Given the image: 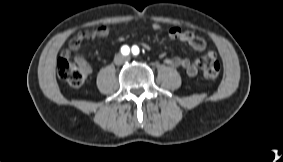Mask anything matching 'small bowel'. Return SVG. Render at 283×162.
<instances>
[{
  "label": "small bowel",
  "instance_id": "1",
  "mask_svg": "<svg viewBox=\"0 0 283 162\" xmlns=\"http://www.w3.org/2000/svg\"><path fill=\"white\" fill-rule=\"evenodd\" d=\"M151 29L154 31H160L161 25L157 22H153ZM168 36L173 40H178L190 45L193 49L197 51H203L206 48V42L203 38L197 36L195 33L189 30H182L178 27H171L168 29ZM109 36V28L106 25H101L92 32L80 31L78 32L69 42V50L62 53V57L69 58L71 51H76L80 48L83 40L93 37L105 39ZM143 47L150 49L149 45L143 44ZM213 54V53H208ZM206 57V56H205ZM75 61L77 63H86L82 57H76ZM165 63L171 67L183 69L189 76L197 75L202 62L200 59H188L182 57H172L166 58Z\"/></svg>",
  "mask_w": 283,
  "mask_h": 162
}]
</instances>
